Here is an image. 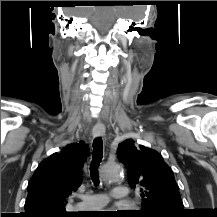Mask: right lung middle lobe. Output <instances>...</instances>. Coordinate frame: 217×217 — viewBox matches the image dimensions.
I'll use <instances>...</instances> for the list:
<instances>
[{"mask_svg": "<svg viewBox=\"0 0 217 217\" xmlns=\"http://www.w3.org/2000/svg\"><path fill=\"white\" fill-rule=\"evenodd\" d=\"M55 217H72V216L71 215H68V216H66V215H57Z\"/></svg>", "mask_w": 217, "mask_h": 217, "instance_id": "obj_1", "label": "right lung middle lobe"}]
</instances>
